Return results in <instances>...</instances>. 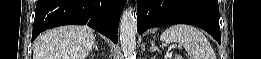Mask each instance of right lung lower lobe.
Instances as JSON below:
<instances>
[{"instance_id":"1","label":"right lung lower lobe","mask_w":261,"mask_h":59,"mask_svg":"<svg viewBox=\"0 0 261 59\" xmlns=\"http://www.w3.org/2000/svg\"><path fill=\"white\" fill-rule=\"evenodd\" d=\"M126 0H38L32 41L61 25H85L117 43L118 25Z\"/></svg>"}]
</instances>
